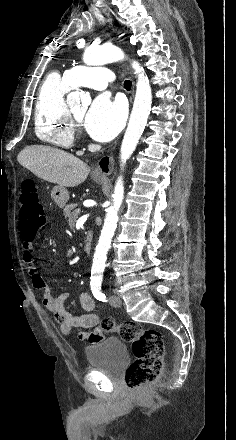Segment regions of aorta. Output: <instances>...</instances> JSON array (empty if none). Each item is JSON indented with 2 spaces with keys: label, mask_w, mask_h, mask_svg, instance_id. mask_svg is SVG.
Here are the masks:
<instances>
[{
  "label": "aorta",
  "mask_w": 236,
  "mask_h": 440,
  "mask_svg": "<svg viewBox=\"0 0 236 440\" xmlns=\"http://www.w3.org/2000/svg\"><path fill=\"white\" fill-rule=\"evenodd\" d=\"M124 58V52L117 46L111 44H105L99 47H88L85 49L83 55L84 63L91 66L117 62ZM132 67L137 74L136 95L120 150L122 167L136 149L147 124L152 104L151 86L143 67H141L137 61L132 62ZM88 101H90V98L83 91L71 92L67 97L69 106ZM123 198L124 185L122 177H119L114 188L113 204L107 209L104 225L95 249L91 269V278L93 280H100L102 278L107 252L117 227L118 212Z\"/></svg>",
  "instance_id": "1"
}]
</instances>
